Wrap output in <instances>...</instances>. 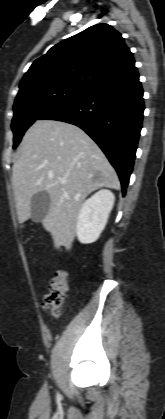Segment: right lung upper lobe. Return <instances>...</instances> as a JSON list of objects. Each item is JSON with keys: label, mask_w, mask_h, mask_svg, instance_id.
Here are the masks:
<instances>
[{"label": "right lung upper lobe", "mask_w": 165, "mask_h": 419, "mask_svg": "<svg viewBox=\"0 0 165 419\" xmlns=\"http://www.w3.org/2000/svg\"><path fill=\"white\" fill-rule=\"evenodd\" d=\"M135 64L121 34L97 24L53 46L25 73L16 98L50 87L90 92Z\"/></svg>", "instance_id": "1"}]
</instances>
